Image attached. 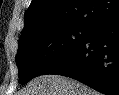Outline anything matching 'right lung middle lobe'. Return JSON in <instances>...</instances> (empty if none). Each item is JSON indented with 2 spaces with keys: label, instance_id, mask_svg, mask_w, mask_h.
Listing matches in <instances>:
<instances>
[{
  "label": "right lung middle lobe",
  "instance_id": "right-lung-middle-lobe-1",
  "mask_svg": "<svg viewBox=\"0 0 119 95\" xmlns=\"http://www.w3.org/2000/svg\"><path fill=\"white\" fill-rule=\"evenodd\" d=\"M90 30L72 24L45 27L22 36L15 59L19 68V83L25 84L42 75L80 43Z\"/></svg>",
  "mask_w": 119,
  "mask_h": 95
}]
</instances>
